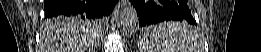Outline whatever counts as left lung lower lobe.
I'll return each mask as SVG.
<instances>
[{
  "mask_svg": "<svg viewBox=\"0 0 261 52\" xmlns=\"http://www.w3.org/2000/svg\"><path fill=\"white\" fill-rule=\"evenodd\" d=\"M131 2L137 10L140 27L169 20L186 21L196 25L187 0H133ZM183 36L185 34H177L178 38Z\"/></svg>",
  "mask_w": 261,
  "mask_h": 52,
  "instance_id": "1",
  "label": "left lung lower lobe"
}]
</instances>
